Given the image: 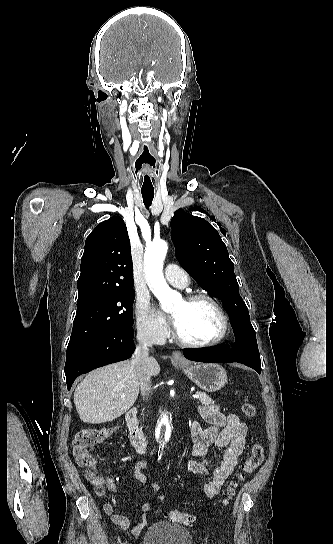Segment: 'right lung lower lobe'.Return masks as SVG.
Returning <instances> with one entry per match:
<instances>
[{
  "label": "right lung lower lobe",
  "mask_w": 333,
  "mask_h": 544,
  "mask_svg": "<svg viewBox=\"0 0 333 544\" xmlns=\"http://www.w3.org/2000/svg\"><path fill=\"white\" fill-rule=\"evenodd\" d=\"M134 350L133 327L131 325L67 353L64 370L68 390L79 375L110 363L128 359Z\"/></svg>",
  "instance_id": "1"
}]
</instances>
